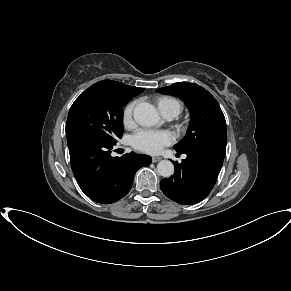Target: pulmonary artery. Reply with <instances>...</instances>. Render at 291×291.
Wrapping results in <instances>:
<instances>
[{"mask_svg":"<svg viewBox=\"0 0 291 291\" xmlns=\"http://www.w3.org/2000/svg\"><path fill=\"white\" fill-rule=\"evenodd\" d=\"M166 119L171 120L175 117V114L173 112H166L163 114Z\"/></svg>","mask_w":291,"mask_h":291,"instance_id":"obj_1","label":"pulmonary artery"}]
</instances>
